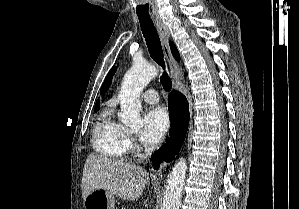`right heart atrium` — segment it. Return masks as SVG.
I'll return each mask as SVG.
<instances>
[{
    "label": "right heart atrium",
    "mask_w": 299,
    "mask_h": 209,
    "mask_svg": "<svg viewBox=\"0 0 299 209\" xmlns=\"http://www.w3.org/2000/svg\"><path fill=\"white\" fill-rule=\"evenodd\" d=\"M129 143H130V146H131L132 143H133V139H129Z\"/></svg>",
    "instance_id": "1"
}]
</instances>
